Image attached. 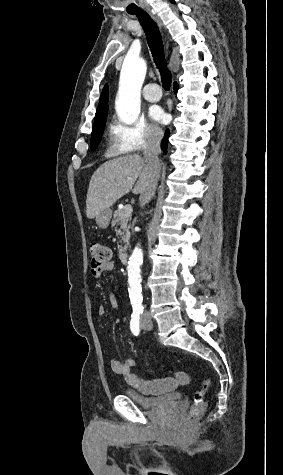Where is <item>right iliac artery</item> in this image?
<instances>
[{"mask_svg":"<svg viewBox=\"0 0 283 475\" xmlns=\"http://www.w3.org/2000/svg\"><path fill=\"white\" fill-rule=\"evenodd\" d=\"M140 314L137 312H133L131 315V322H130V329L134 335H138L140 331Z\"/></svg>","mask_w":283,"mask_h":475,"instance_id":"82829eb1","label":"right iliac artery"}]
</instances>
